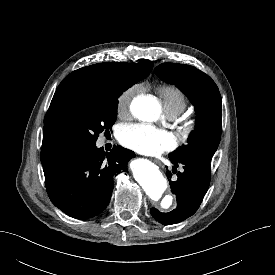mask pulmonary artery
<instances>
[{"label":"pulmonary artery","mask_w":275,"mask_h":275,"mask_svg":"<svg viewBox=\"0 0 275 275\" xmlns=\"http://www.w3.org/2000/svg\"><path fill=\"white\" fill-rule=\"evenodd\" d=\"M168 116H169V118H175L176 117V115H174V114H168Z\"/></svg>","instance_id":"pulmonary-artery-1"}]
</instances>
